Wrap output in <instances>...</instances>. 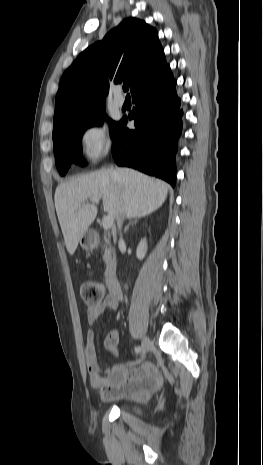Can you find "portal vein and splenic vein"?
Wrapping results in <instances>:
<instances>
[{
  "instance_id": "18ae733b",
  "label": "portal vein and splenic vein",
  "mask_w": 263,
  "mask_h": 465,
  "mask_svg": "<svg viewBox=\"0 0 263 465\" xmlns=\"http://www.w3.org/2000/svg\"><path fill=\"white\" fill-rule=\"evenodd\" d=\"M90 201L93 204H99V198H91ZM114 222V216L112 214H108L104 219H103V228L105 230L110 229L113 226Z\"/></svg>"
}]
</instances>
